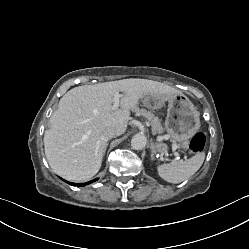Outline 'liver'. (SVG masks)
<instances>
[{
	"label": "liver",
	"mask_w": 249,
	"mask_h": 249,
	"mask_svg": "<svg viewBox=\"0 0 249 249\" xmlns=\"http://www.w3.org/2000/svg\"><path fill=\"white\" fill-rule=\"evenodd\" d=\"M122 92L120 108L113 110L114 95ZM181 93L161 82L130 78L84 85L69 90L52 114L44 134L47 161L52 170L69 181H86L99 171L106 141V127L123 134L131 119L130 110L144 94L166 98Z\"/></svg>",
	"instance_id": "liver-1"
}]
</instances>
